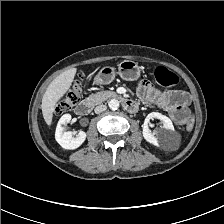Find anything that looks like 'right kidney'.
Returning <instances> with one entry per match:
<instances>
[{"label":"right kidney","instance_id":"1","mask_svg":"<svg viewBox=\"0 0 224 224\" xmlns=\"http://www.w3.org/2000/svg\"><path fill=\"white\" fill-rule=\"evenodd\" d=\"M71 121L70 114H64L60 120L58 121L55 139L60 144V146L67 150H73L78 148L83 144L86 139V133L84 131H79L76 137H73V133L71 131H64V127L62 125H66Z\"/></svg>","mask_w":224,"mask_h":224}]
</instances>
